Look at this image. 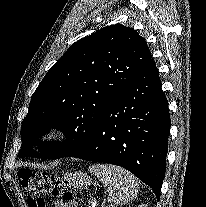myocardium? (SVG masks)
Segmentation results:
<instances>
[{"instance_id": "f54148a6", "label": "myocardium", "mask_w": 206, "mask_h": 207, "mask_svg": "<svg viewBox=\"0 0 206 207\" xmlns=\"http://www.w3.org/2000/svg\"><path fill=\"white\" fill-rule=\"evenodd\" d=\"M66 135L67 131L63 126L51 125L40 133L38 141L44 145H51L63 140Z\"/></svg>"}]
</instances>
